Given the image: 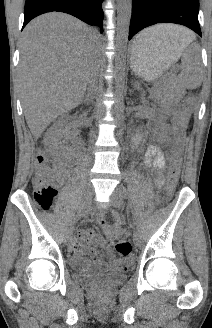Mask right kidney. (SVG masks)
I'll return each instance as SVG.
<instances>
[{
    "mask_svg": "<svg viewBox=\"0 0 212 328\" xmlns=\"http://www.w3.org/2000/svg\"><path fill=\"white\" fill-rule=\"evenodd\" d=\"M69 119V117L60 118L52 127V131L55 134L56 142H59L64 135L63 125Z\"/></svg>",
    "mask_w": 212,
    "mask_h": 328,
    "instance_id": "1",
    "label": "right kidney"
}]
</instances>
